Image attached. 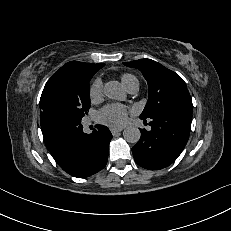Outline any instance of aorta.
Wrapping results in <instances>:
<instances>
[{
    "mask_svg": "<svg viewBox=\"0 0 231 231\" xmlns=\"http://www.w3.org/2000/svg\"><path fill=\"white\" fill-rule=\"evenodd\" d=\"M104 94L114 100H124L125 90L118 81H109L104 86ZM124 139L129 143H137L141 137L140 130L135 126H129L123 131Z\"/></svg>",
    "mask_w": 231,
    "mask_h": 231,
    "instance_id": "1",
    "label": "aorta"
}]
</instances>
